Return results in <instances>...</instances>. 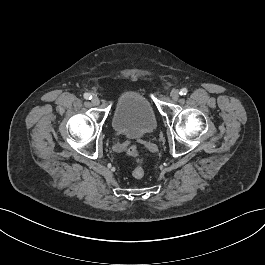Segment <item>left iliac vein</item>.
Wrapping results in <instances>:
<instances>
[{
  "instance_id": "4c4485c4",
  "label": "left iliac vein",
  "mask_w": 265,
  "mask_h": 265,
  "mask_svg": "<svg viewBox=\"0 0 265 265\" xmlns=\"http://www.w3.org/2000/svg\"><path fill=\"white\" fill-rule=\"evenodd\" d=\"M179 96H180V92L178 90L175 89L171 92V98L173 100H178Z\"/></svg>"
}]
</instances>
